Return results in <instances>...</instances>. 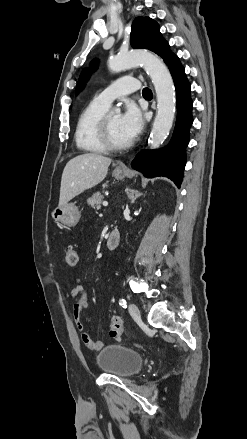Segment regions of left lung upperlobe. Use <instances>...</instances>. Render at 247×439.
I'll return each mask as SVG.
<instances>
[{
	"label": "left lung upper lobe",
	"instance_id": "5c2ea615",
	"mask_svg": "<svg viewBox=\"0 0 247 439\" xmlns=\"http://www.w3.org/2000/svg\"><path fill=\"white\" fill-rule=\"evenodd\" d=\"M130 41L135 49H148L161 56L169 69L178 60V57L171 52L168 43L161 36L159 25L149 17H138L134 20ZM96 63L97 61L95 60L90 70L85 69L82 71L77 84V93L83 89L84 83L88 80L89 73L96 69Z\"/></svg>",
	"mask_w": 247,
	"mask_h": 439
}]
</instances>
